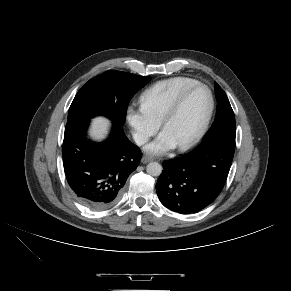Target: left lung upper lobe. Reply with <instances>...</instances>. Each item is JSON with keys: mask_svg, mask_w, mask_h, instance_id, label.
Listing matches in <instances>:
<instances>
[{"mask_svg": "<svg viewBox=\"0 0 291 291\" xmlns=\"http://www.w3.org/2000/svg\"><path fill=\"white\" fill-rule=\"evenodd\" d=\"M215 93L217 98L216 117L203 143L220 137L235 139L236 136L235 116L232 107L225 92L216 82Z\"/></svg>", "mask_w": 291, "mask_h": 291, "instance_id": "obj_1", "label": "left lung upper lobe"}]
</instances>
